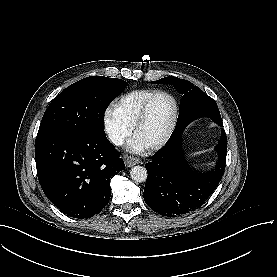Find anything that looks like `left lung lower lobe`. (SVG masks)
I'll return each mask as SVG.
<instances>
[{
    "instance_id": "left-lung-lower-lobe-1",
    "label": "left lung lower lobe",
    "mask_w": 277,
    "mask_h": 277,
    "mask_svg": "<svg viewBox=\"0 0 277 277\" xmlns=\"http://www.w3.org/2000/svg\"><path fill=\"white\" fill-rule=\"evenodd\" d=\"M217 166L208 173H198L183 163L181 135L171 139L145 164L148 172L144 200L155 212L176 217L198 208L219 184L226 164L227 137L224 129L216 146Z\"/></svg>"
}]
</instances>
